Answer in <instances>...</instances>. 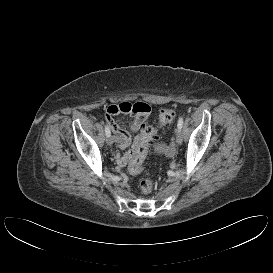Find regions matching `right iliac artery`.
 <instances>
[{"mask_svg":"<svg viewBox=\"0 0 273 273\" xmlns=\"http://www.w3.org/2000/svg\"><path fill=\"white\" fill-rule=\"evenodd\" d=\"M105 134H106V136H110V134H111L110 129L107 125H105Z\"/></svg>","mask_w":273,"mask_h":273,"instance_id":"82829eb1","label":"right iliac artery"}]
</instances>
